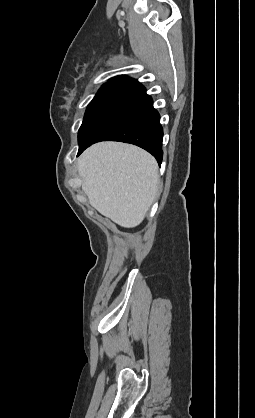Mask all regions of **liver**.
Masks as SVG:
<instances>
[{"mask_svg": "<svg viewBox=\"0 0 255 418\" xmlns=\"http://www.w3.org/2000/svg\"><path fill=\"white\" fill-rule=\"evenodd\" d=\"M89 203L116 224L133 228L145 218L158 190L155 158L134 145L101 142L77 162Z\"/></svg>", "mask_w": 255, "mask_h": 418, "instance_id": "liver-1", "label": "liver"}]
</instances>
